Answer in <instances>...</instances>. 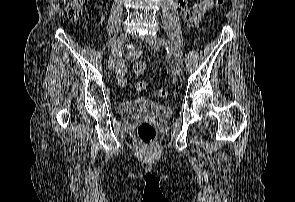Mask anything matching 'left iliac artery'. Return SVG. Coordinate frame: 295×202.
<instances>
[{"mask_svg": "<svg viewBox=\"0 0 295 202\" xmlns=\"http://www.w3.org/2000/svg\"><path fill=\"white\" fill-rule=\"evenodd\" d=\"M161 42H162V44L166 47V50H167L169 53L173 54V55L176 57V59L178 60V62H179L180 64H182L181 57L179 56V53H177V52L173 49V47L170 45V43H169L167 40H165V39H161Z\"/></svg>", "mask_w": 295, "mask_h": 202, "instance_id": "1", "label": "left iliac artery"}]
</instances>
